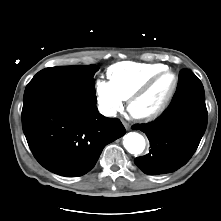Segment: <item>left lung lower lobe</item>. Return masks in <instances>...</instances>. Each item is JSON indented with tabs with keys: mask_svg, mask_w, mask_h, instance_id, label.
I'll return each mask as SVG.
<instances>
[{
	"mask_svg": "<svg viewBox=\"0 0 221 221\" xmlns=\"http://www.w3.org/2000/svg\"><path fill=\"white\" fill-rule=\"evenodd\" d=\"M207 126L205 93L201 81L184 69L167 110L153 122L135 125L150 141V152L135 158V164L149 175L174 172L196 151Z\"/></svg>",
	"mask_w": 221,
	"mask_h": 221,
	"instance_id": "1",
	"label": "left lung lower lobe"
}]
</instances>
